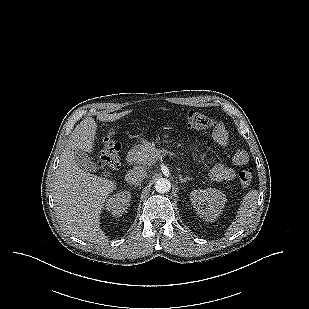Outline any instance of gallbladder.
Wrapping results in <instances>:
<instances>
[{
	"label": "gallbladder",
	"mask_w": 309,
	"mask_h": 309,
	"mask_svg": "<svg viewBox=\"0 0 309 309\" xmlns=\"http://www.w3.org/2000/svg\"><path fill=\"white\" fill-rule=\"evenodd\" d=\"M74 158L79 167L88 172H96L97 166L93 163L87 152L84 150H74Z\"/></svg>",
	"instance_id": "1"
}]
</instances>
